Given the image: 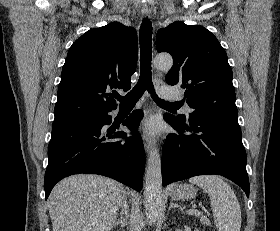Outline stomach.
<instances>
[{
    "instance_id": "obj_1",
    "label": "stomach",
    "mask_w": 280,
    "mask_h": 231,
    "mask_svg": "<svg viewBox=\"0 0 280 231\" xmlns=\"http://www.w3.org/2000/svg\"><path fill=\"white\" fill-rule=\"evenodd\" d=\"M169 195L171 199H191V197L196 195V187L192 183L172 185Z\"/></svg>"
}]
</instances>
